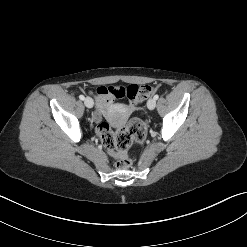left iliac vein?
<instances>
[{
  "mask_svg": "<svg viewBox=\"0 0 247 247\" xmlns=\"http://www.w3.org/2000/svg\"><path fill=\"white\" fill-rule=\"evenodd\" d=\"M147 107L150 110H153L156 107V100L154 98H151L147 102Z\"/></svg>",
  "mask_w": 247,
  "mask_h": 247,
  "instance_id": "4c4485c4",
  "label": "left iliac vein"
}]
</instances>
